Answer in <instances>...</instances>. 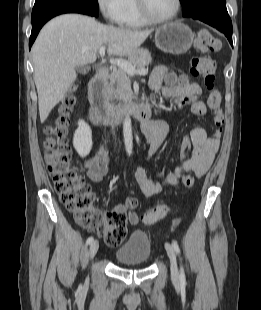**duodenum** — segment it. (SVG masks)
I'll use <instances>...</instances> for the list:
<instances>
[{
  "label": "duodenum",
  "instance_id": "duodenum-1",
  "mask_svg": "<svg viewBox=\"0 0 261 310\" xmlns=\"http://www.w3.org/2000/svg\"><path fill=\"white\" fill-rule=\"evenodd\" d=\"M106 75L107 68H100L89 84V95L92 101L89 118L95 124L109 122L112 119V110L107 105L108 98L105 91ZM151 112L152 107L148 101L128 103L118 108V114L121 118L135 117L142 122L143 126H146L150 121Z\"/></svg>",
  "mask_w": 261,
  "mask_h": 310
}]
</instances>
